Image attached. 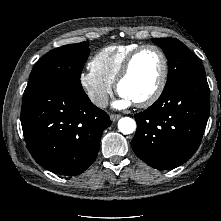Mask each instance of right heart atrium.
I'll use <instances>...</instances> for the list:
<instances>
[{"mask_svg":"<svg viewBox=\"0 0 221 221\" xmlns=\"http://www.w3.org/2000/svg\"><path fill=\"white\" fill-rule=\"evenodd\" d=\"M79 83L88 99L96 106L103 107L113 91V84L99 76L91 68L81 72Z\"/></svg>","mask_w":221,"mask_h":221,"instance_id":"obj_1","label":"right heart atrium"}]
</instances>
